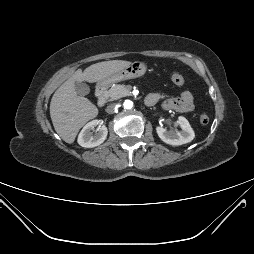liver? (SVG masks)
<instances>
[{
  "mask_svg": "<svg viewBox=\"0 0 254 254\" xmlns=\"http://www.w3.org/2000/svg\"><path fill=\"white\" fill-rule=\"evenodd\" d=\"M130 64V61L110 60L93 64L84 71L78 69L56 90L50 103V116L55 131L66 143H73L83 125L98 115L97 107L89 99L77 96L75 83L100 82Z\"/></svg>",
  "mask_w": 254,
  "mask_h": 254,
  "instance_id": "obj_1",
  "label": "liver"
}]
</instances>
